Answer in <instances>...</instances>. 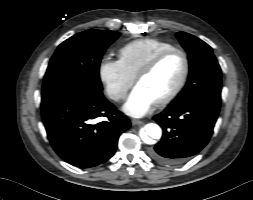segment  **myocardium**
Wrapping results in <instances>:
<instances>
[{
  "label": "myocardium",
  "mask_w": 253,
  "mask_h": 200,
  "mask_svg": "<svg viewBox=\"0 0 253 200\" xmlns=\"http://www.w3.org/2000/svg\"><path fill=\"white\" fill-rule=\"evenodd\" d=\"M173 54H179L184 63V68H183V73L181 75V78L177 85L174 87V89L168 93L165 97L160 99L159 101L156 102L157 106H164L173 101L183 90L188 77L190 73V61L187 53L183 51L182 49L178 48H172L166 51L161 52L157 56H155L152 60H150L143 68H141L138 73L135 76V83L137 84L140 79L143 77L151 74L155 69L169 56Z\"/></svg>",
  "instance_id": "myocardium-1"
}]
</instances>
